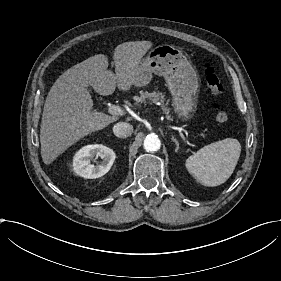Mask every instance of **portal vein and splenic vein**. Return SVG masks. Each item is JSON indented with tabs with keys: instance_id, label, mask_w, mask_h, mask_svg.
I'll list each match as a JSON object with an SVG mask.
<instances>
[{
	"instance_id": "obj_1",
	"label": "portal vein and splenic vein",
	"mask_w": 281,
	"mask_h": 281,
	"mask_svg": "<svg viewBox=\"0 0 281 281\" xmlns=\"http://www.w3.org/2000/svg\"><path fill=\"white\" fill-rule=\"evenodd\" d=\"M108 112L111 114V115H123L124 114V111L122 110V108L118 105H113V104H109L108 105ZM175 130H179V128L175 127L174 128ZM180 134L182 133L180 130L178 131ZM186 136H185V141L188 143L189 141L187 140L188 139V136H187V132L185 133ZM182 138L184 137L183 135L181 136Z\"/></svg>"
}]
</instances>
